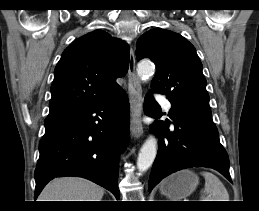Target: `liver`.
<instances>
[{
	"mask_svg": "<svg viewBox=\"0 0 259 211\" xmlns=\"http://www.w3.org/2000/svg\"><path fill=\"white\" fill-rule=\"evenodd\" d=\"M103 195L104 189L89 180L64 177L49 182L38 201H101Z\"/></svg>",
	"mask_w": 259,
	"mask_h": 211,
	"instance_id": "6515ba94",
	"label": "liver"
}]
</instances>
